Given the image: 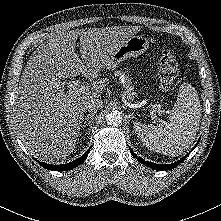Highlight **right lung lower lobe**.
<instances>
[{"instance_id":"right-lung-lower-lobe-1","label":"right lung lower lobe","mask_w":221,"mask_h":221,"mask_svg":"<svg viewBox=\"0 0 221 221\" xmlns=\"http://www.w3.org/2000/svg\"><path fill=\"white\" fill-rule=\"evenodd\" d=\"M88 153H89V150H87L86 153H84L80 158L76 159L75 161H72L67 164H62V165H50V164H46V163L39 162V161H37V162L42 167H44L48 170L67 171V170L73 169V168L77 167L78 165H80L81 163H83L85 161V159L87 158Z\"/></svg>"}]
</instances>
